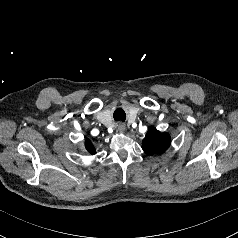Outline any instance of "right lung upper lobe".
<instances>
[{
	"label": "right lung upper lobe",
	"mask_w": 238,
	"mask_h": 238,
	"mask_svg": "<svg viewBox=\"0 0 238 238\" xmlns=\"http://www.w3.org/2000/svg\"><path fill=\"white\" fill-rule=\"evenodd\" d=\"M85 148H86V150H87L90 154H92V155L96 154L95 147L93 146V144H92L91 141L86 140V142H85Z\"/></svg>",
	"instance_id": "obj_1"
}]
</instances>
